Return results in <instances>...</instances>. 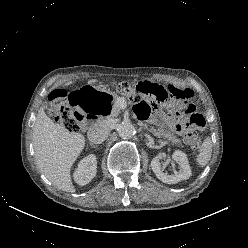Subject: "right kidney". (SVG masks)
Returning <instances> with one entry per match:
<instances>
[{"label":"right kidney","mask_w":248,"mask_h":248,"mask_svg":"<svg viewBox=\"0 0 248 248\" xmlns=\"http://www.w3.org/2000/svg\"><path fill=\"white\" fill-rule=\"evenodd\" d=\"M97 160L94 154H90L82 159L73 173L77 184L83 186L88 184L96 175Z\"/></svg>","instance_id":"1"}]
</instances>
